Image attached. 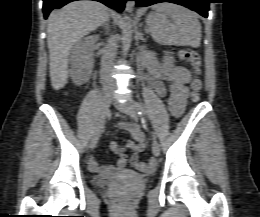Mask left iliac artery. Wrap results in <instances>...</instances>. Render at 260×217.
Wrapping results in <instances>:
<instances>
[{
	"mask_svg": "<svg viewBox=\"0 0 260 217\" xmlns=\"http://www.w3.org/2000/svg\"><path fill=\"white\" fill-rule=\"evenodd\" d=\"M132 105L134 106V108L136 109V111L138 112L139 115L142 116V123H143V127L147 130V131H150L149 130V126H148V122L145 118L146 116V111L144 109V107L138 103L137 101H132ZM151 133V136H152V139L153 140H156V135L154 132H150Z\"/></svg>",
	"mask_w": 260,
	"mask_h": 217,
	"instance_id": "left-iliac-artery-1",
	"label": "left iliac artery"
}]
</instances>
